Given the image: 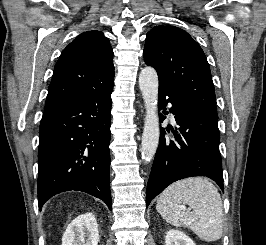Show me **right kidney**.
I'll list each match as a JSON object with an SVG mask.
<instances>
[{"mask_svg":"<svg viewBox=\"0 0 266 245\" xmlns=\"http://www.w3.org/2000/svg\"><path fill=\"white\" fill-rule=\"evenodd\" d=\"M72 223L74 245H98L99 231L95 215H92V213L79 215Z\"/></svg>","mask_w":266,"mask_h":245,"instance_id":"1","label":"right kidney"}]
</instances>
